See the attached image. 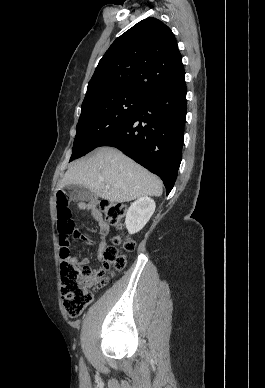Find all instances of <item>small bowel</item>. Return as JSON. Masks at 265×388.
<instances>
[{
    "label": "small bowel",
    "instance_id": "obj_1",
    "mask_svg": "<svg viewBox=\"0 0 265 388\" xmlns=\"http://www.w3.org/2000/svg\"><path fill=\"white\" fill-rule=\"evenodd\" d=\"M75 206L80 210L89 211L91 216L94 218V220L99 225V235H100L101 241H100L99 246H98L97 260L100 261V260H102L104 250L107 247L106 237L108 236V233H109V229H110L109 225L107 222L104 221L103 216H102L101 212L99 211V209L96 208L93 204L83 202V201H78V202H75ZM81 239L88 244L94 243L92 239H90L89 237H86V236H83ZM72 260L74 262H76L74 259H72ZM89 263H90V259L87 257L83 258L79 262V264L82 266H88Z\"/></svg>",
    "mask_w": 265,
    "mask_h": 388
}]
</instances>
